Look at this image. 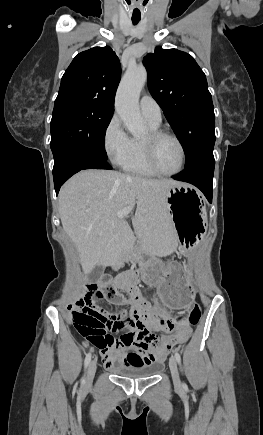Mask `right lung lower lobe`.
<instances>
[{
  "instance_id": "obj_1",
  "label": "right lung lower lobe",
  "mask_w": 263,
  "mask_h": 435,
  "mask_svg": "<svg viewBox=\"0 0 263 435\" xmlns=\"http://www.w3.org/2000/svg\"><path fill=\"white\" fill-rule=\"evenodd\" d=\"M84 169H112L107 160L82 153H69L54 164L53 177L56 194L72 175Z\"/></svg>"
}]
</instances>
